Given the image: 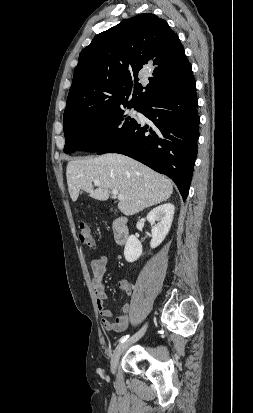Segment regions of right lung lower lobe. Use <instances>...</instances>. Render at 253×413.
Returning a JSON list of instances; mask_svg holds the SVG:
<instances>
[{
  "mask_svg": "<svg viewBox=\"0 0 253 413\" xmlns=\"http://www.w3.org/2000/svg\"><path fill=\"white\" fill-rule=\"evenodd\" d=\"M197 109L196 82L191 73L180 86L153 96L138 107L153 122L151 127L137 123L98 154H124L167 175L185 200L197 156Z\"/></svg>",
  "mask_w": 253,
  "mask_h": 413,
  "instance_id": "1",
  "label": "right lung lower lobe"
}]
</instances>
